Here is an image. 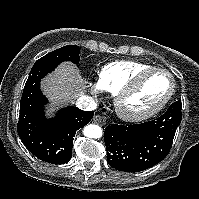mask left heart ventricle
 Masks as SVG:
<instances>
[{"instance_id":"left-heart-ventricle-1","label":"left heart ventricle","mask_w":199,"mask_h":199,"mask_svg":"<svg viewBox=\"0 0 199 199\" xmlns=\"http://www.w3.org/2000/svg\"><path fill=\"white\" fill-rule=\"evenodd\" d=\"M171 81L163 73L147 76L138 89L125 101V106L131 111H144L156 106L169 92Z\"/></svg>"}]
</instances>
